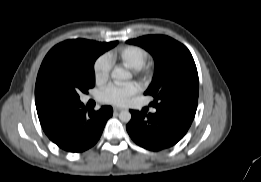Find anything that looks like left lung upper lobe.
Wrapping results in <instances>:
<instances>
[{"mask_svg":"<svg viewBox=\"0 0 261 182\" xmlns=\"http://www.w3.org/2000/svg\"><path fill=\"white\" fill-rule=\"evenodd\" d=\"M154 57L155 71L145 95L157 110L189 109L196 112L199 93L197 68L190 51L183 44L164 35H146L130 39Z\"/></svg>","mask_w":261,"mask_h":182,"instance_id":"5c2ea615","label":"left lung upper lobe"}]
</instances>
